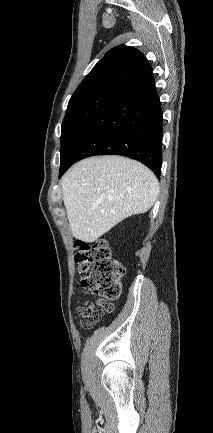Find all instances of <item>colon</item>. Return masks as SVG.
<instances>
[{
  "mask_svg": "<svg viewBox=\"0 0 213 433\" xmlns=\"http://www.w3.org/2000/svg\"><path fill=\"white\" fill-rule=\"evenodd\" d=\"M75 248L82 286L101 298L86 304L79 310L82 323L91 326L105 313L110 312L112 302L119 299L125 268L113 256L108 242L104 239L92 243L78 241Z\"/></svg>",
  "mask_w": 213,
  "mask_h": 433,
  "instance_id": "colon-1",
  "label": "colon"
}]
</instances>
